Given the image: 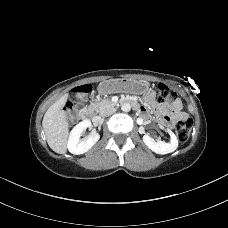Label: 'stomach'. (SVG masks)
Wrapping results in <instances>:
<instances>
[{
  "label": "stomach",
  "mask_w": 228,
  "mask_h": 228,
  "mask_svg": "<svg viewBox=\"0 0 228 228\" xmlns=\"http://www.w3.org/2000/svg\"><path fill=\"white\" fill-rule=\"evenodd\" d=\"M148 91V83L127 78L104 80L98 85V92L103 95L113 93H130L141 95L146 94Z\"/></svg>",
  "instance_id": "0dacf381"
}]
</instances>
